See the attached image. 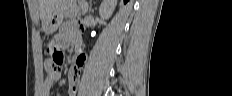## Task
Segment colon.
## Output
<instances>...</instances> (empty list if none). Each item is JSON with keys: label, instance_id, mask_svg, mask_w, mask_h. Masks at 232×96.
<instances>
[{"label": "colon", "instance_id": "obj_1", "mask_svg": "<svg viewBox=\"0 0 232 96\" xmlns=\"http://www.w3.org/2000/svg\"><path fill=\"white\" fill-rule=\"evenodd\" d=\"M49 52L51 59L48 61V71L50 73H55L62 67L64 63V54L61 47L57 46L56 43L49 45Z\"/></svg>", "mask_w": 232, "mask_h": 96}]
</instances>
